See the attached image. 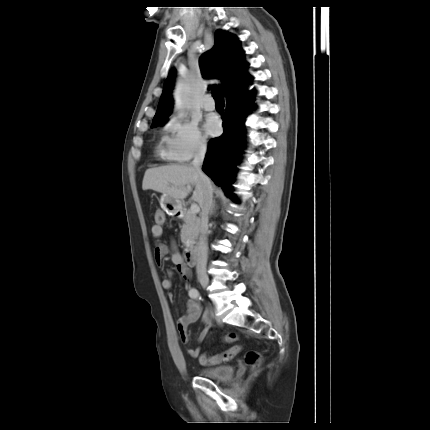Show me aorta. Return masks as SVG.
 Returning a JSON list of instances; mask_svg holds the SVG:
<instances>
[{
  "instance_id": "1",
  "label": "aorta",
  "mask_w": 430,
  "mask_h": 430,
  "mask_svg": "<svg viewBox=\"0 0 430 430\" xmlns=\"http://www.w3.org/2000/svg\"><path fill=\"white\" fill-rule=\"evenodd\" d=\"M175 108L178 111L185 110L190 103V86L186 81H180L174 91Z\"/></svg>"
}]
</instances>
